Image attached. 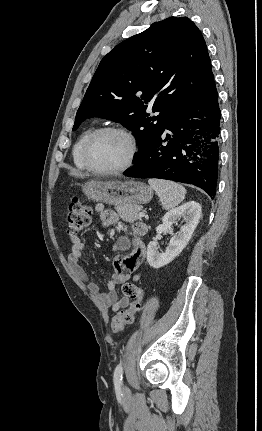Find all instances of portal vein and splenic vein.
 <instances>
[{"label":"portal vein and splenic vein","instance_id":"1","mask_svg":"<svg viewBox=\"0 0 262 431\" xmlns=\"http://www.w3.org/2000/svg\"><path fill=\"white\" fill-rule=\"evenodd\" d=\"M139 217H140V218L145 217V213H144V212H140V213H139Z\"/></svg>","mask_w":262,"mask_h":431}]
</instances>
